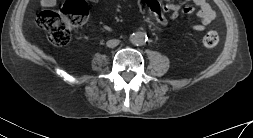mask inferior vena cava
I'll use <instances>...</instances> for the list:
<instances>
[{"label": "inferior vena cava", "mask_w": 253, "mask_h": 138, "mask_svg": "<svg viewBox=\"0 0 253 138\" xmlns=\"http://www.w3.org/2000/svg\"><path fill=\"white\" fill-rule=\"evenodd\" d=\"M119 43H120V40H118V39H111V40L107 41L106 45L109 48H114V47L118 46Z\"/></svg>", "instance_id": "inferior-vena-cava-1"}]
</instances>
